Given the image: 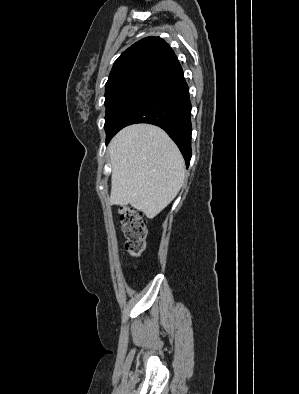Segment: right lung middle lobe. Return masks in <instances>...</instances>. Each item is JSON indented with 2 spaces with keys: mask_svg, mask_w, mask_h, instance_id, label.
Wrapping results in <instances>:
<instances>
[{
  "mask_svg": "<svg viewBox=\"0 0 299 394\" xmlns=\"http://www.w3.org/2000/svg\"><path fill=\"white\" fill-rule=\"evenodd\" d=\"M148 88L146 85H122L105 91V131L106 139L128 107Z\"/></svg>",
  "mask_w": 299,
  "mask_h": 394,
  "instance_id": "obj_1",
  "label": "right lung middle lobe"
}]
</instances>
